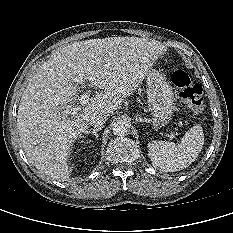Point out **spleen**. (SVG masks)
Returning a JSON list of instances; mask_svg holds the SVG:
<instances>
[{
  "label": "spleen",
  "instance_id": "3e777b00",
  "mask_svg": "<svg viewBox=\"0 0 233 233\" xmlns=\"http://www.w3.org/2000/svg\"><path fill=\"white\" fill-rule=\"evenodd\" d=\"M203 144V129L196 125L190 128L177 144L152 141L147 148L155 168L164 172H175L192 164L201 152Z\"/></svg>",
  "mask_w": 233,
  "mask_h": 233
}]
</instances>
